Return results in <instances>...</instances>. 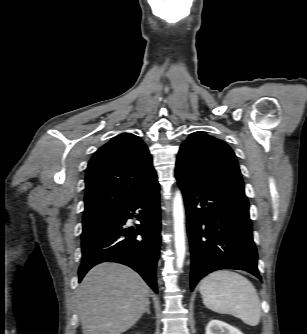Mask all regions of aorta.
Returning <instances> with one entry per match:
<instances>
[{
    "label": "aorta",
    "instance_id": "762f6f07",
    "mask_svg": "<svg viewBox=\"0 0 307 334\" xmlns=\"http://www.w3.org/2000/svg\"><path fill=\"white\" fill-rule=\"evenodd\" d=\"M173 218H174V234H175V251H176V266L181 270L186 254L185 246V230H184V208L183 200L180 191L175 193L173 199Z\"/></svg>",
    "mask_w": 307,
    "mask_h": 334
}]
</instances>
